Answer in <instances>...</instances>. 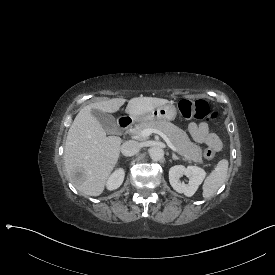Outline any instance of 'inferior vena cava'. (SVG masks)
<instances>
[{
  "mask_svg": "<svg viewBox=\"0 0 275 275\" xmlns=\"http://www.w3.org/2000/svg\"><path fill=\"white\" fill-rule=\"evenodd\" d=\"M141 149L140 143L135 140H129L123 143L122 145V153L125 156H134Z\"/></svg>",
  "mask_w": 275,
  "mask_h": 275,
  "instance_id": "602c4592",
  "label": "inferior vena cava"
}]
</instances>
